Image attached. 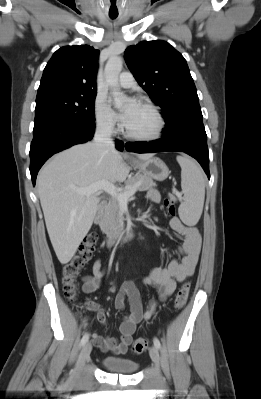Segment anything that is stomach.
Masks as SVG:
<instances>
[{"label": "stomach", "instance_id": "stomach-1", "mask_svg": "<svg viewBox=\"0 0 261 399\" xmlns=\"http://www.w3.org/2000/svg\"><path fill=\"white\" fill-rule=\"evenodd\" d=\"M134 165L146 176L158 181L165 180L169 175L167 165L157 157H151L147 160L135 161Z\"/></svg>", "mask_w": 261, "mask_h": 399}]
</instances>
